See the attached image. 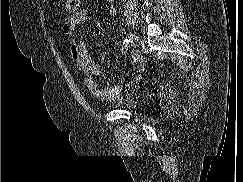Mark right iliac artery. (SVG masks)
Returning <instances> with one entry per match:
<instances>
[{"instance_id": "obj_1", "label": "right iliac artery", "mask_w": 243, "mask_h": 182, "mask_svg": "<svg viewBox=\"0 0 243 182\" xmlns=\"http://www.w3.org/2000/svg\"><path fill=\"white\" fill-rule=\"evenodd\" d=\"M131 41L129 39H124L123 41V46L127 49L130 46Z\"/></svg>"}]
</instances>
